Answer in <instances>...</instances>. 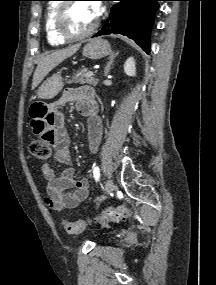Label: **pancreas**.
<instances>
[{
  "mask_svg": "<svg viewBox=\"0 0 216 285\" xmlns=\"http://www.w3.org/2000/svg\"><path fill=\"white\" fill-rule=\"evenodd\" d=\"M87 69H83L81 71H78L73 75V77L67 81L68 84L76 83V84H90V85H97L98 79L91 76L87 77Z\"/></svg>",
  "mask_w": 216,
  "mask_h": 285,
  "instance_id": "1",
  "label": "pancreas"
}]
</instances>
